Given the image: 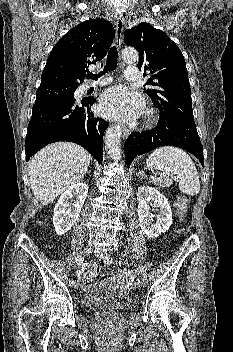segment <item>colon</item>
Returning <instances> with one entry per match:
<instances>
[{
	"label": "colon",
	"mask_w": 233,
	"mask_h": 352,
	"mask_svg": "<svg viewBox=\"0 0 233 352\" xmlns=\"http://www.w3.org/2000/svg\"><path fill=\"white\" fill-rule=\"evenodd\" d=\"M188 207V199L184 196H179L176 200V208L180 218H184ZM100 267L96 264L89 265L85 272V283H90L99 278Z\"/></svg>",
	"instance_id": "obj_1"
}]
</instances>
